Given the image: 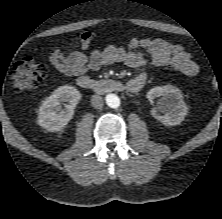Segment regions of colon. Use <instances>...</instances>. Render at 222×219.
Masks as SVG:
<instances>
[{"instance_id":"obj_1","label":"colon","mask_w":222,"mask_h":219,"mask_svg":"<svg viewBox=\"0 0 222 219\" xmlns=\"http://www.w3.org/2000/svg\"><path fill=\"white\" fill-rule=\"evenodd\" d=\"M49 74L48 67L32 57H23L13 67L11 73L12 88L15 92H23L37 87ZM212 85L216 81L212 79Z\"/></svg>"}]
</instances>
